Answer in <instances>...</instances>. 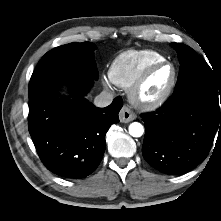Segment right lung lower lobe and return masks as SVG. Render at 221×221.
Listing matches in <instances>:
<instances>
[{
  "label": "right lung lower lobe",
  "mask_w": 221,
  "mask_h": 221,
  "mask_svg": "<svg viewBox=\"0 0 221 221\" xmlns=\"http://www.w3.org/2000/svg\"><path fill=\"white\" fill-rule=\"evenodd\" d=\"M63 83L72 88L66 99L56 92ZM92 84L88 75L70 74L29 94L28 125L37 153L48 170L65 179L85 178L96 170L105 151V134L119 122L121 99L96 108L84 98Z\"/></svg>",
  "instance_id": "right-lung-lower-lobe-1"
}]
</instances>
